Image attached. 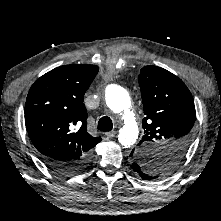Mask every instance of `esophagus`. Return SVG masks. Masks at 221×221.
I'll use <instances>...</instances> for the list:
<instances>
[{
	"label": "esophagus",
	"instance_id": "1",
	"mask_svg": "<svg viewBox=\"0 0 221 221\" xmlns=\"http://www.w3.org/2000/svg\"><path fill=\"white\" fill-rule=\"evenodd\" d=\"M115 135H116V131H111V132L105 133V136L110 139L113 138Z\"/></svg>",
	"mask_w": 221,
	"mask_h": 221
}]
</instances>
